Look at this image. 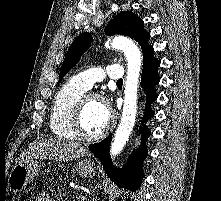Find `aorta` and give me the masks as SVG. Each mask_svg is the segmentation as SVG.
Here are the masks:
<instances>
[{
    "label": "aorta",
    "instance_id": "obj_1",
    "mask_svg": "<svg viewBox=\"0 0 221 201\" xmlns=\"http://www.w3.org/2000/svg\"><path fill=\"white\" fill-rule=\"evenodd\" d=\"M106 46L123 51L127 59V77L124 90V106L121 121L116 130L110 147V154L115 158L123 150L133 130L137 113V96L140 68L142 64L141 53L137 45L123 36H116Z\"/></svg>",
    "mask_w": 221,
    "mask_h": 201
}]
</instances>
